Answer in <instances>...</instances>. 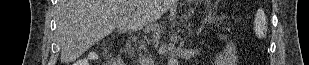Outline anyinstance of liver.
<instances>
[{"mask_svg":"<svg viewBox=\"0 0 309 65\" xmlns=\"http://www.w3.org/2000/svg\"><path fill=\"white\" fill-rule=\"evenodd\" d=\"M170 0H58L57 36L61 60L75 61L115 31H137L158 20Z\"/></svg>","mask_w":309,"mask_h":65,"instance_id":"obj_1","label":"liver"}]
</instances>
